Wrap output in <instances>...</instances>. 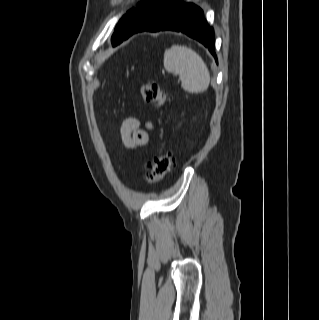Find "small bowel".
Listing matches in <instances>:
<instances>
[{"instance_id": "small-bowel-1", "label": "small bowel", "mask_w": 319, "mask_h": 320, "mask_svg": "<svg viewBox=\"0 0 319 320\" xmlns=\"http://www.w3.org/2000/svg\"><path fill=\"white\" fill-rule=\"evenodd\" d=\"M146 126L150 129L152 123L148 122ZM119 132L123 145L129 149L145 146L149 141L147 130L143 129L140 120L134 117L126 118Z\"/></svg>"}]
</instances>
